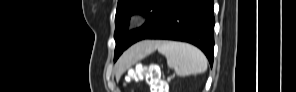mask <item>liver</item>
Listing matches in <instances>:
<instances>
[{
  "instance_id": "liver-1",
  "label": "liver",
  "mask_w": 296,
  "mask_h": 92,
  "mask_svg": "<svg viewBox=\"0 0 296 92\" xmlns=\"http://www.w3.org/2000/svg\"><path fill=\"white\" fill-rule=\"evenodd\" d=\"M157 44L156 41H143L127 50L115 65L116 77L119 78L126 69L153 52Z\"/></svg>"
}]
</instances>
